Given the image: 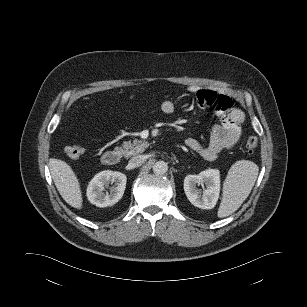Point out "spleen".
<instances>
[{
    "label": "spleen",
    "mask_w": 307,
    "mask_h": 307,
    "mask_svg": "<svg viewBox=\"0 0 307 307\" xmlns=\"http://www.w3.org/2000/svg\"><path fill=\"white\" fill-rule=\"evenodd\" d=\"M258 172V166L249 160H239L231 166L223 183L222 200L217 212L219 218L238 210L249 196Z\"/></svg>",
    "instance_id": "spleen-1"
}]
</instances>
